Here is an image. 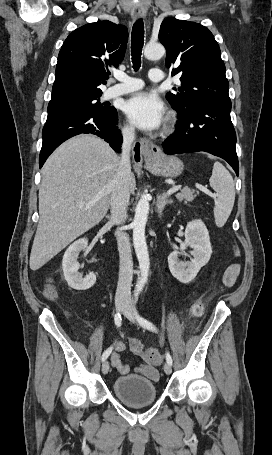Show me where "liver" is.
Returning a JSON list of instances; mask_svg holds the SVG:
<instances>
[{
  "mask_svg": "<svg viewBox=\"0 0 272 455\" xmlns=\"http://www.w3.org/2000/svg\"><path fill=\"white\" fill-rule=\"evenodd\" d=\"M119 157L102 139L79 135L59 146L42 168L39 223L30 269L38 270L106 215ZM136 181L131 173L129 190Z\"/></svg>",
  "mask_w": 272,
  "mask_h": 455,
  "instance_id": "1",
  "label": "liver"
}]
</instances>
